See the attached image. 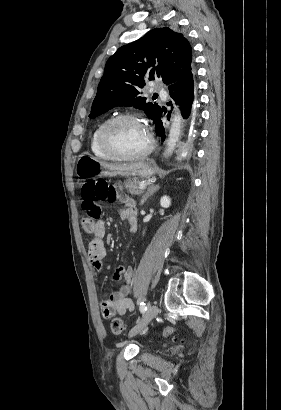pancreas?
Instances as JSON below:
<instances>
[{
	"mask_svg": "<svg viewBox=\"0 0 281 410\" xmlns=\"http://www.w3.org/2000/svg\"><path fill=\"white\" fill-rule=\"evenodd\" d=\"M140 181L136 178L128 179L124 182L126 190L132 195H140L143 190L139 189Z\"/></svg>",
	"mask_w": 281,
	"mask_h": 410,
	"instance_id": "pancreas-1",
	"label": "pancreas"
}]
</instances>
